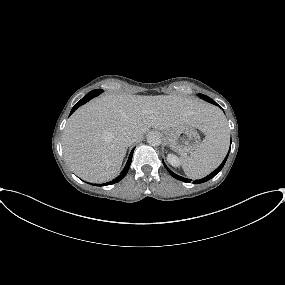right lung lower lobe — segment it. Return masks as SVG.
Returning <instances> with one entry per match:
<instances>
[{
    "label": "right lung lower lobe",
    "instance_id": "1",
    "mask_svg": "<svg viewBox=\"0 0 285 285\" xmlns=\"http://www.w3.org/2000/svg\"><path fill=\"white\" fill-rule=\"evenodd\" d=\"M99 95V92H90L88 93L84 98H82L78 103H76L74 105V107L72 108L71 110V113L70 115L78 108L80 107L81 105L85 104L86 102H88L90 99H92L93 97H96ZM133 151L134 149L131 151L130 155H129V158H128V161L124 167V169L122 170L121 172V175H119L116 179L110 181V182H107V183H104V184H98V186H103V185H111V184H114V183H117L119 182L121 179L124 178V176L126 175V173L128 172L129 170V167H130V164H131V161H132V156H133ZM94 185V184H92Z\"/></svg>",
    "mask_w": 285,
    "mask_h": 285
}]
</instances>
